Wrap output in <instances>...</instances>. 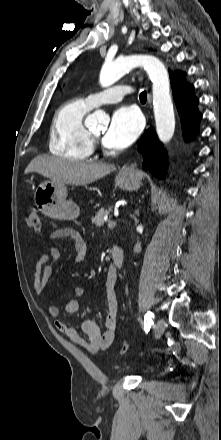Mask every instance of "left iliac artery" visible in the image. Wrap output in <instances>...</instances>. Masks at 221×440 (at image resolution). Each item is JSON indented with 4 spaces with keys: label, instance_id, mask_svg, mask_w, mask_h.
<instances>
[{
    "label": "left iliac artery",
    "instance_id": "left-iliac-artery-1",
    "mask_svg": "<svg viewBox=\"0 0 221 440\" xmlns=\"http://www.w3.org/2000/svg\"><path fill=\"white\" fill-rule=\"evenodd\" d=\"M154 314L148 311L144 316V330L147 333L150 330L151 324H153Z\"/></svg>",
    "mask_w": 221,
    "mask_h": 440
}]
</instances>
